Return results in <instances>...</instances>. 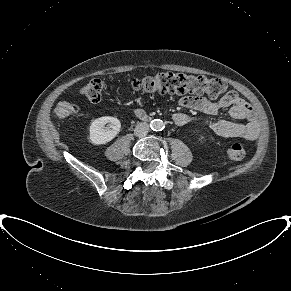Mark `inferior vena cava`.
I'll list each match as a JSON object with an SVG mask.
<instances>
[{
	"instance_id": "1",
	"label": "inferior vena cava",
	"mask_w": 291,
	"mask_h": 291,
	"mask_svg": "<svg viewBox=\"0 0 291 291\" xmlns=\"http://www.w3.org/2000/svg\"><path fill=\"white\" fill-rule=\"evenodd\" d=\"M149 130V125L146 122H141L135 127L134 134L137 137H143L148 134Z\"/></svg>"
}]
</instances>
